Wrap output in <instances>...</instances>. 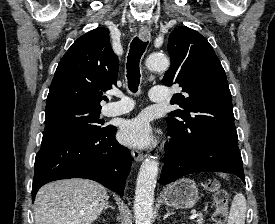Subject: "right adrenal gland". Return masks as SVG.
<instances>
[{
  "label": "right adrenal gland",
  "mask_w": 275,
  "mask_h": 224,
  "mask_svg": "<svg viewBox=\"0 0 275 224\" xmlns=\"http://www.w3.org/2000/svg\"><path fill=\"white\" fill-rule=\"evenodd\" d=\"M109 208L115 210V208H114L113 206H111V205H107L104 209L107 210V209H109Z\"/></svg>",
  "instance_id": "right-adrenal-gland-1"
}]
</instances>
